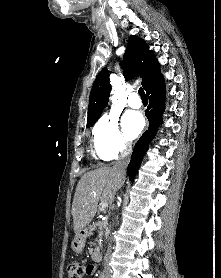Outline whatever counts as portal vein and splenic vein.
Returning a JSON list of instances; mask_svg holds the SVG:
<instances>
[{
	"label": "portal vein and splenic vein",
	"instance_id": "1",
	"mask_svg": "<svg viewBox=\"0 0 221 278\" xmlns=\"http://www.w3.org/2000/svg\"><path fill=\"white\" fill-rule=\"evenodd\" d=\"M106 207H108L107 202H101L100 203V211H104L106 209Z\"/></svg>",
	"mask_w": 221,
	"mask_h": 278
}]
</instances>
